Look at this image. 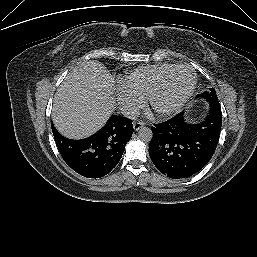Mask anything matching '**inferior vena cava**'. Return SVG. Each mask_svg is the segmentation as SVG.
Returning a JSON list of instances; mask_svg holds the SVG:
<instances>
[{"mask_svg":"<svg viewBox=\"0 0 257 257\" xmlns=\"http://www.w3.org/2000/svg\"><path fill=\"white\" fill-rule=\"evenodd\" d=\"M121 113L123 116L132 120H135L140 114L139 110L136 107L130 106H123L121 108Z\"/></svg>","mask_w":257,"mask_h":257,"instance_id":"inferior-vena-cava-1","label":"inferior vena cava"}]
</instances>
